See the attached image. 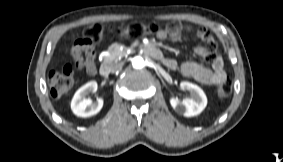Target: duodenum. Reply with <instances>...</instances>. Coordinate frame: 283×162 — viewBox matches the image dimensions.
Instances as JSON below:
<instances>
[{
    "instance_id": "duodenum-1",
    "label": "duodenum",
    "mask_w": 283,
    "mask_h": 162,
    "mask_svg": "<svg viewBox=\"0 0 283 162\" xmlns=\"http://www.w3.org/2000/svg\"><path fill=\"white\" fill-rule=\"evenodd\" d=\"M145 53L155 59H163L161 51L152 44H146L143 47ZM111 71V68L108 64H104L101 66L100 74L102 76H107Z\"/></svg>"
}]
</instances>
